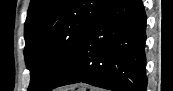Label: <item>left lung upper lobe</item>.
I'll list each match as a JSON object with an SVG mask.
<instances>
[{
  "label": "left lung upper lobe",
  "mask_w": 173,
  "mask_h": 91,
  "mask_svg": "<svg viewBox=\"0 0 173 91\" xmlns=\"http://www.w3.org/2000/svg\"><path fill=\"white\" fill-rule=\"evenodd\" d=\"M110 1L31 0L24 34L28 91H50L60 84Z\"/></svg>",
  "instance_id": "1"
}]
</instances>
